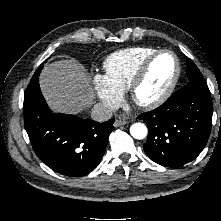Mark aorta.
<instances>
[{
  "label": "aorta",
  "instance_id": "obj_1",
  "mask_svg": "<svg viewBox=\"0 0 221 221\" xmlns=\"http://www.w3.org/2000/svg\"><path fill=\"white\" fill-rule=\"evenodd\" d=\"M131 136L135 139H144L147 136L148 130L143 123H134L130 127Z\"/></svg>",
  "mask_w": 221,
  "mask_h": 221
}]
</instances>
